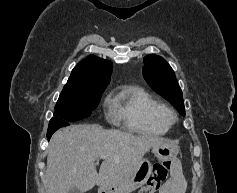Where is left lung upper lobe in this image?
Listing matches in <instances>:
<instances>
[{
  "label": "left lung upper lobe",
  "mask_w": 237,
  "mask_h": 193,
  "mask_svg": "<svg viewBox=\"0 0 237 193\" xmlns=\"http://www.w3.org/2000/svg\"><path fill=\"white\" fill-rule=\"evenodd\" d=\"M144 64L143 76L147 83L184 116L182 91L176 81L174 71L167 61L160 56L148 55L144 58Z\"/></svg>",
  "instance_id": "1"
}]
</instances>
